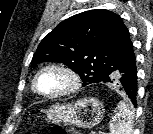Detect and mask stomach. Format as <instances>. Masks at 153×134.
I'll list each match as a JSON object with an SVG mask.
<instances>
[{"label": "stomach", "mask_w": 153, "mask_h": 134, "mask_svg": "<svg viewBox=\"0 0 153 134\" xmlns=\"http://www.w3.org/2000/svg\"><path fill=\"white\" fill-rule=\"evenodd\" d=\"M103 104L93 98H86L68 105H53L45 111L46 120L55 124L74 125L90 129L97 126L104 117Z\"/></svg>", "instance_id": "1"}]
</instances>
